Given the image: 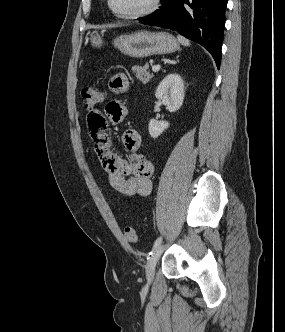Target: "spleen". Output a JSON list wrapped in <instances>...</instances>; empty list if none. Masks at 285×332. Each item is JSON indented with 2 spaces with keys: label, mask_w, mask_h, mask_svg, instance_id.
<instances>
[{
  "label": "spleen",
  "mask_w": 285,
  "mask_h": 332,
  "mask_svg": "<svg viewBox=\"0 0 285 332\" xmlns=\"http://www.w3.org/2000/svg\"><path fill=\"white\" fill-rule=\"evenodd\" d=\"M177 39H178V41H179L182 45H184V46H190V42H189V40L186 39V38H184V37H182L181 35H178V36H177Z\"/></svg>",
  "instance_id": "1"
}]
</instances>
